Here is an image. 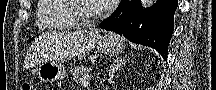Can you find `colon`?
<instances>
[{
    "label": "colon",
    "instance_id": "colon-1",
    "mask_svg": "<svg viewBox=\"0 0 216 90\" xmlns=\"http://www.w3.org/2000/svg\"><path fill=\"white\" fill-rule=\"evenodd\" d=\"M22 90H37V88L32 82H25L22 85Z\"/></svg>",
    "mask_w": 216,
    "mask_h": 90
}]
</instances>
